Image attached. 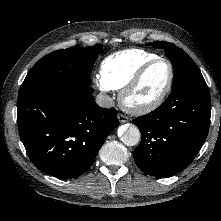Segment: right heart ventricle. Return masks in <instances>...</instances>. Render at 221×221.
<instances>
[{"label": "right heart ventricle", "instance_id": "e07e8e85", "mask_svg": "<svg viewBox=\"0 0 221 221\" xmlns=\"http://www.w3.org/2000/svg\"><path fill=\"white\" fill-rule=\"evenodd\" d=\"M159 57L143 49H129L107 56L100 65V76L112 90H121L146 62Z\"/></svg>", "mask_w": 221, "mask_h": 221}]
</instances>
